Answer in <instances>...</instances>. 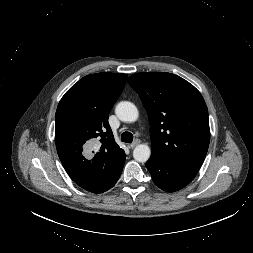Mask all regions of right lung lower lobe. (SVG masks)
<instances>
[{
	"label": "right lung lower lobe",
	"mask_w": 253,
	"mask_h": 253,
	"mask_svg": "<svg viewBox=\"0 0 253 253\" xmlns=\"http://www.w3.org/2000/svg\"><path fill=\"white\" fill-rule=\"evenodd\" d=\"M124 162H125V158L122 160V162L120 163L118 168L115 170V172L112 174V176L109 178V180L105 182L101 187L96 189L93 193H102L112 188L121 175Z\"/></svg>",
	"instance_id": "98d812e1"
}]
</instances>
